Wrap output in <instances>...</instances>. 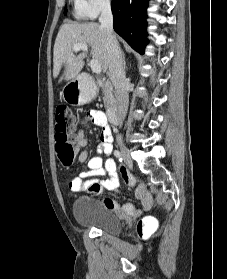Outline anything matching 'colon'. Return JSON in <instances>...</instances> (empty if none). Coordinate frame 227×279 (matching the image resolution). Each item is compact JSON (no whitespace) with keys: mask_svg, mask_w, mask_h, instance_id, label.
<instances>
[{"mask_svg":"<svg viewBox=\"0 0 227 279\" xmlns=\"http://www.w3.org/2000/svg\"><path fill=\"white\" fill-rule=\"evenodd\" d=\"M74 116L70 108L65 104H59L56 107L55 114V152L63 165H71L77 153L76 146L71 142L72 125ZM93 192L98 193L100 187L92 185ZM151 230V224L147 221L141 222L138 231L139 234L147 233Z\"/></svg>","mask_w":227,"mask_h":279,"instance_id":"obj_1","label":"colon"}]
</instances>
